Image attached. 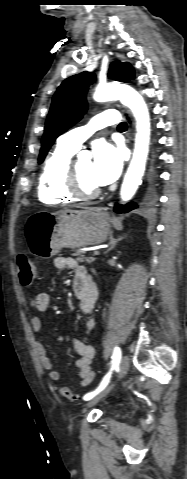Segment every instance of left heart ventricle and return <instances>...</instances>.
<instances>
[{
    "instance_id": "left-heart-ventricle-1",
    "label": "left heart ventricle",
    "mask_w": 187,
    "mask_h": 479,
    "mask_svg": "<svg viewBox=\"0 0 187 479\" xmlns=\"http://www.w3.org/2000/svg\"><path fill=\"white\" fill-rule=\"evenodd\" d=\"M77 169L82 185L87 190H92L98 187L92 178V161L79 160L77 161Z\"/></svg>"
}]
</instances>
